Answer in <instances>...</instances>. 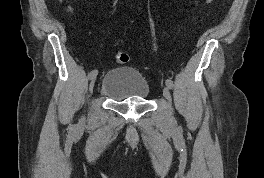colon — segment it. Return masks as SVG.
Wrapping results in <instances>:
<instances>
[{
  "instance_id": "1",
  "label": "colon",
  "mask_w": 264,
  "mask_h": 178,
  "mask_svg": "<svg viewBox=\"0 0 264 178\" xmlns=\"http://www.w3.org/2000/svg\"><path fill=\"white\" fill-rule=\"evenodd\" d=\"M130 59V56L128 53L126 52H118L116 55H115V60L120 63V64H124V63H127Z\"/></svg>"
}]
</instances>
